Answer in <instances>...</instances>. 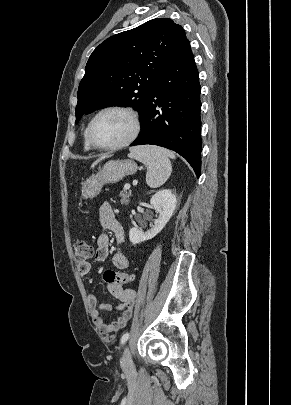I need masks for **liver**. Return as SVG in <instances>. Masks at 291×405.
<instances>
[{"label":"liver","mask_w":291,"mask_h":405,"mask_svg":"<svg viewBox=\"0 0 291 405\" xmlns=\"http://www.w3.org/2000/svg\"><path fill=\"white\" fill-rule=\"evenodd\" d=\"M103 158H104V157H102V158L98 159L97 161H95V162L92 164V167H94L95 165H97Z\"/></svg>","instance_id":"liver-1"}]
</instances>
